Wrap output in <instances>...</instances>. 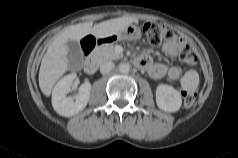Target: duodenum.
<instances>
[{"label":"duodenum","mask_w":238,"mask_h":158,"mask_svg":"<svg viewBox=\"0 0 238 158\" xmlns=\"http://www.w3.org/2000/svg\"><path fill=\"white\" fill-rule=\"evenodd\" d=\"M106 42H107L106 40L93 41L90 44L84 45V49L86 51H91L92 49H94V48H96L98 46H101V45L105 44ZM136 63H137L138 66L140 65L138 61ZM84 70L88 74L95 73V71L97 70V63H96V61L93 58L88 57L85 60V62H84Z\"/></svg>","instance_id":"1"}]
</instances>
